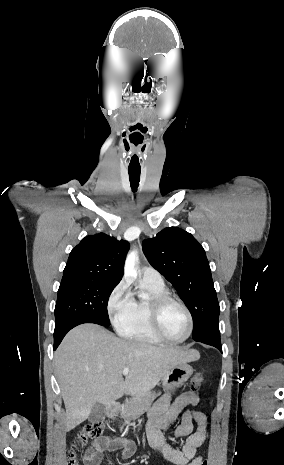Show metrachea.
Masks as SVG:
<instances>
[{
  "label": "trachea",
  "mask_w": 284,
  "mask_h": 465,
  "mask_svg": "<svg viewBox=\"0 0 284 465\" xmlns=\"http://www.w3.org/2000/svg\"><path fill=\"white\" fill-rule=\"evenodd\" d=\"M128 174H129V180H130L132 191L135 193L139 186L141 170L140 169H129Z\"/></svg>",
  "instance_id": "trachea-1"
}]
</instances>
